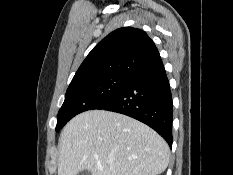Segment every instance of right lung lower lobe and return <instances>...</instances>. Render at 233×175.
I'll return each instance as SVG.
<instances>
[{
	"label": "right lung lower lobe",
	"instance_id": "obj_1",
	"mask_svg": "<svg viewBox=\"0 0 233 175\" xmlns=\"http://www.w3.org/2000/svg\"><path fill=\"white\" fill-rule=\"evenodd\" d=\"M96 109L135 118L153 128L172 146V96L162 61L134 75L113 98Z\"/></svg>",
	"mask_w": 233,
	"mask_h": 175
}]
</instances>
